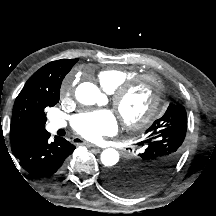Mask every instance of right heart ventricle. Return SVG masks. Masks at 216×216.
<instances>
[{
	"instance_id": "right-heart-ventricle-1",
	"label": "right heart ventricle",
	"mask_w": 216,
	"mask_h": 216,
	"mask_svg": "<svg viewBox=\"0 0 216 216\" xmlns=\"http://www.w3.org/2000/svg\"><path fill=\"white\" fill-rule=\"evenodd\" d=\"M136 76L135 71L122 67H112L101 70L97 75L99 85L112 93L118 86Z\"/></svg>"
}]
</instances>
